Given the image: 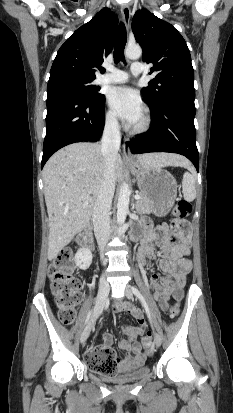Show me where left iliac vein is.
<instances>
[{
	"mask_svg": "<svg viewBox=\"0 0 233 413\" xmlns=\"http://www.w3.org/2000/svg\"><path fill=\"white\" fill-rule=\"evenodd\" d=\"M125 295L128 299H133V293L130 287L125 288ZM154 343L157 347L161 346L162 340H161V336L158 333H155L154 335Z\"/></svg>",
	"mask_w": 233,
	"mask_h": 413,
	"instance_id": "left-iliac-vein-1",
	"label": "left iliac vein"
}]
</instances>
